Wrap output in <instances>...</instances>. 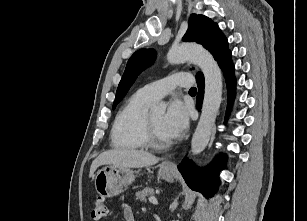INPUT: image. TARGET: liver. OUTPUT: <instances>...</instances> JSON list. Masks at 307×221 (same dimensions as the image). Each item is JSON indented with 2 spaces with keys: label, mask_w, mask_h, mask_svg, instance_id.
<instances>
[{
  "label": "liver",
  "mask_w": 307,
  "mask_h": 221,
  "mask_svg": "<svg viewBox=\"0 0 307 221\" xmlns=\"http://www.w3.org/2000/svg\"><path fill=\"white\" fill-rule=\"evenodd\" d=\"M159 158L146 151L135 149H113L101 153L91 164L89 177H93L101 165H114L125 168H142L154 165Z\"/></svg>",
  "instance_id": "obj_1"
}]
</instances>
